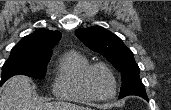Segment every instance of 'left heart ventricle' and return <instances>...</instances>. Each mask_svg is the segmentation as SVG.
<instances>
[{
	"label": "left heart ventricle",
	"instance_id": "1",
	"mask_svg": "<svg viewBox=\"0 0 171 110\" xmlns=\"http://www.w3.org/2000/svg\"><path fill=\"white\" fill-rule=\"evenodd\" d=\"M90 85L93 92L100 97H107L113 91L110 75L102 68L95 69L90 76Z\"/></svg>",
	"mask_w": 171,
	"mask_h": 110
}]
</instances>
